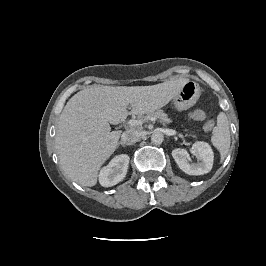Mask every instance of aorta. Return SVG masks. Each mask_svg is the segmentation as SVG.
<instances>
[{
	"label": "aorta",
	"instance_id": "obj_1",
	"mask_svg": "<svg viewBox=\"0 0 266 266\" xmlns=\"http://www.w3.org/2000/svg\"><path fill=\"white\" fill-rule=\"evenodd\" d=\"M164 140V136L161 132H155L151 136V142L154 145H161Z\"/></svg>",
	"mask_w": 266,
	"mask_h": 266
}]
</instances>
